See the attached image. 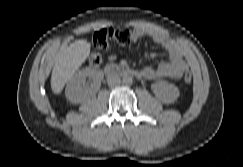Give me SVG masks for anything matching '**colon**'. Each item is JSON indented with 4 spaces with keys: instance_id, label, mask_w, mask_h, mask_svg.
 <instances>
[{
    "instance_id": "1",
    "label": "colon",
    "mask_w": 243,
    "mask_h": 167,
    "mask_svg": "<svg viewBox=\"0 0 243 167\" xmlns=\"http://www.w3.org/2000/svg\"><path fill=\"white\" fill-rule=\"evenodd\" d=\"M132 35V31L128 27L102 28L97 30L93 36L95 50L89 56V64L93 67L99 66L103 60V52L109 48L110 44L126 47L131 43ZM184 82H192V75L190 73L184 75Z\"/></svg>"
}]
</instances>
